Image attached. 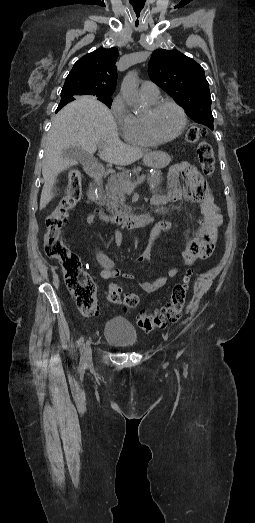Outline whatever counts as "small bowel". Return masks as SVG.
Instances as JSON below:
<instances>
[{
  "instance_id": "obj_1",
  "label": "small bowel",
  "mask_w": 255,
  "mask_h": 523,
  "mask_svg": "<svg viewBox=\"0 0 255 523\" xmlns=\"http://www.w3.org/2000/svg\"><path fill=\"white\" fill-rule=\"evenodd\" d=\"M177 169L181 171L185 184L180 185L178 180L174 179L171 182L168 196L154 197L152 202L155 204V199H162V203L186 199L199 205L203 217L199 226L194 231L186 232L187 244L182 252L183 262L185 265L191 266L196 260L207 259L212 254L218 237V227L222 223V216L218 205L214 202L213 196L197 168L189 163H182L177 166ZM86 220L89 224L95 223L92 215H89ZM172 227L173 225L170 221L161 220L157 222L151 231L149 243L145 251L135 259V262H150L154 241L162 232L170 231ZM114 240L117 246L122 244V232L120 230H116ZM96 260L101 268L99 277L103 280L117 276H122L129 280L135 278L131 272L121 271L115 268L114 261L104 252H98L96 254ZM179 272V267H173L168 271L167 276L159 277L151 281L141 280L139 285L144 292L153 293L161 289L170 278L177 276Z\"/></svg>"
}]
</instances>
